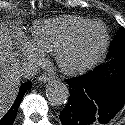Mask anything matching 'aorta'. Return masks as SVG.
Listing matches in <instances>:
<instances>
[{
	"label": "aorta",
	"instance_id": "aorta-1",
	"mask_svg": "<svg viewBox=\"0 0 125 125\" xmlns=\"http://www.w3.org/2000/svg\"><path fill=\"white\" fill-rule=\"evenodd\" d=\"M46 96L51 105L59 106L68 101L70 93L66 84L54 80L47 85Z\"/></svg>",
	"mask_w": 125,
	"mask_h": 125
}]
</instances>
